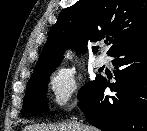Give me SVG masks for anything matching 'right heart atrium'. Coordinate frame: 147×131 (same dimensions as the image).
I'll return each instance as SVG.
<instances>
[{
    "label": "right heart atrium",
    "mask_w": 147,
    "mask_h": 131,
    "mask_svg": "<svg viewBox=\"0 0 147 131\" xmlns=\"http://www.w3.org/2000/svg\"><path fill=\"white\" fill-rule=\"evenodd\" d=\"M49 89L55 107L67 109L78 96L80 89L79 77L72 69L55 70L49 79Z\"/></svg>",
    "instance_id": "right-heart-atrium-1"
}]
</instances>
